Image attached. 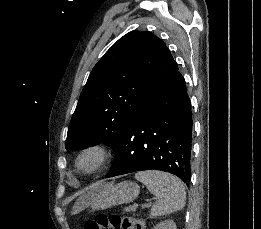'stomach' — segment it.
<instances>
[{
	"mask_svg": "<svg viewBox=\"0 0 261 229\" xmlns=\"http://www.w3.org/2000/svg\"><path fill=\"white\" fill-rule=\"evenodd\" d=\"M140 189L137 183L124 181V183H95L89 187L85 199V203L91 207L92 211H104L115 205H124V203H132L137 199Z\"/></svg>",
	"mask_w": 261,
	"mask_h": 229,
	"instance_id": "obj_1",
	"label": "stomach"
}]
</instances>
